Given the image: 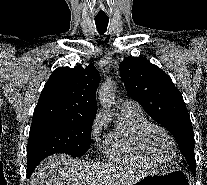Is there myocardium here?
I'll use <instances>...</instances> for the list:
<instances>
[{
  "mask_svg": "<svg viewBox=\"0 0 207 185\" xmlns=\"http://www.w3.org/2000/svg\"><path fill=\"white\" fill-rule=\"evenodd\" d=\"M154 130H158L160 132H162L163 134H165L169 139L170 141L172 142L173 144V147H174V152H173V155L172 157L169 159V160H163L161 159L154 151L153 149L151 148L150 146V141H149V138H150V135L151 133L154 131ZM140 142H141V145L144 149V151L153 159L155 160L156 162L158 163H162V164H167V163H170L171 161L174 160L176 154H177V143H176V140L175 138L173 137V135L171 134V132L165 128L164 126L160 125V124H152V123H149L147 124L141 134H140Z\"/></svg>",
  "mask_w": 207,
  "mask_h": 185,
  "instance_id": "myocardium-1",
  "label": "myocardium"
}]
</instances>
